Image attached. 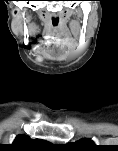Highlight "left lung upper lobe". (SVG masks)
<instances>
[{
  "instance_id": "left-lung-upper-lobe-1",
  "label": "left lung upper lobe",
  "mask_w": 118,
  "mask_h": 151,
  "mask_svg": "<svg viewBox=\"0 0 118 151\" xmlns=\"http://www.w3.org/2000/svg\"><path fill=\"white\" fill-rule=\"evenodd\" d=\"M70 145L78 147V148H90V147H94L95 144L90 139H82Z\"/></svg>"
}]
</instances>
